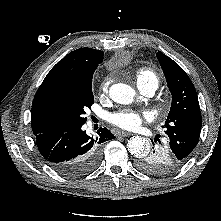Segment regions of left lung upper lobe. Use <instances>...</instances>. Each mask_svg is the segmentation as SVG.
I'll use <instances>...</instances> for the list:
<instances>
[{
  "label": "left lung upper lobe",
  "instance_id": "5c2ea615",
  "mask_svg": "<svg viewBox=\"0 0 221 221\" xmlns=\"http://www.w3.org/2000/svg\"><path fill=\"white\" fill-rule=\"evenodd\" d=\"M156 55L172 94L171 109L162 127L173 153L186 162L198 144L202 127L198 97L185 71L161 51Z\"/></svg>",
  "mask_w": 221,
  "mask_h": 221
}]
</instances>
